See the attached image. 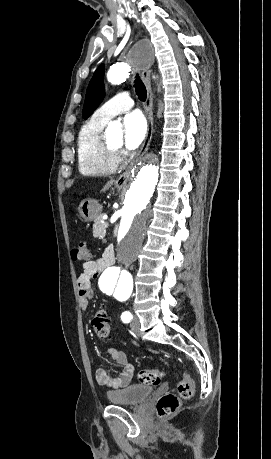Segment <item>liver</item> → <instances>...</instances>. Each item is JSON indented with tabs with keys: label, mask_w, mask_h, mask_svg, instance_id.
I'll return each instance as SVG.
<instances>
[{
	"label": "liver",
	"mask_w": 271,
	"mask_h": 459,
	"mask_svg": "<svg viewBox=\"0 0 271 459\" xmlns=\"http://www.w3.org/2000/svg\"><path fill=\"white\" fill-rule=\"evenodd\" d=\"M113 182H114V180H110V182H107L106 186H104V188H102L101 192H106V190H109V188H111V186H113Z\"/></svg>",
	"instance_id": "liver-1"
}]
</instances>
